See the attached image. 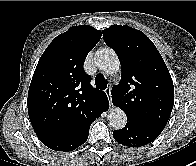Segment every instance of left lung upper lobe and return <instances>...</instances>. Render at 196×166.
I'll use <instances>...</instances> for the list:
<instances>
[{"instance_id": "5c2ea615", "label": "left lung upper lobe", "mask_w": 196, "mask_h": 166, "mask_svg": "<svg viewBox=\"0 0 196 166\" xmlns=\"http://www.w3.org/2000/svg\"><path fill=\"white\" fill-rule=\"evenodd\" d=\"M102 32L121 63V80L111 91L113 104L127 120L162 131L174 105V86L159 51L143 32L127 25Z\"/></svg>"}]
</instances>
